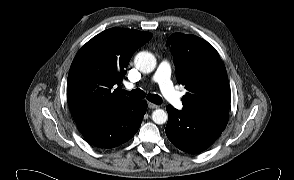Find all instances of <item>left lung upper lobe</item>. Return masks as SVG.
Returning a JSON list of instances; mask_svg holds the SVG:
<instances>
[{
  "label": "left lung upper lobe",
  "instance_id": "left-lung-upper-lobe-1",
  "mask_svg": "<svg viewBox=\"0 0 294 180\" xmlns=\"http://www.w3.org/2000/svg\"><path fill=\"white\" fill-rule=\"evenodd\" d=\"M176 67L177 82L188 90L183 111L228 116L230 90L227 72L216 49L195 36L175 33L167 40Z\"/></svg>",
  "mask_w": 294,
  "mask_h": 180
}]
</instances>
